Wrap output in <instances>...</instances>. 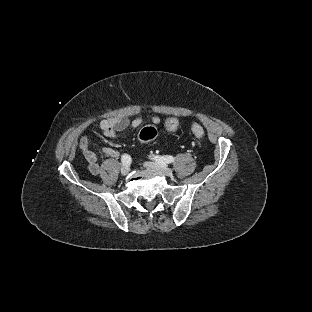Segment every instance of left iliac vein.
<instances>
[{"label": "left iliac vein", "mask_w": 312, "mask_h": 312, "mask_svg": "<svg viewBox=\"0 0 312 312\" xmlns=\"http://www.w3.org/2000/svg\"><path fill=\"white\" fill-rule=\"evenodd\" d=\"M144 166L157 173V174H162V175H165V176H171L173 174V170L168 168V167H165L164 165H160V164H157V163H154V162H145L144 163Z\"/></svg>", "instance_id": "1"}]
</instances>
